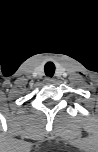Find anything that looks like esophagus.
<instances>
[{"mask_svg":"<svg viewBox=\"0 0 98 152\" xmlns=\"http://www.w3.org/2000/svg\"><path fill=\"white\" fill-rule=\"evenodd\" d=\"M45 81H46V83L51 84V83L54 82V79L51 78V77H47V78L45 79Z\"/></svg>","mask_w":98,"mask_h":152,"instance_id":"34e87169","label":"esophagus"}]
</instances>
